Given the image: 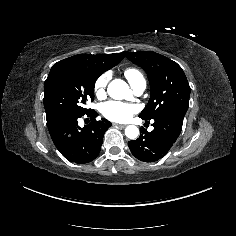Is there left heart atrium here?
<instances>
[{
  "label": "left heart atrium",
  "instance_id": "left-heart-atrium-1",
  "mask_svg": "<svg viewBox=\"0 0 236 236\" xmlns=\"http://www.w3.org/2000/svg\"><path fill=\"white\" fill-rule=\"evenodd\" d=\"M100 110L105 118L115 122H123L135 114L138 109L133 104L108 101L101 106Z\"/></svg>",
  "mask_w": 236,
  "mask_h": 236
}]
</instances>
